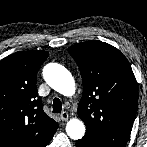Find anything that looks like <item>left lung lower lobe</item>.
<instances>
[{
  "label": "left lung lower lobe",
  "instance_id": "obj_1",
  "mask_svg": "<svg viewBox=\"0 0 147 147\" xmlns=\"http://www.w3.org/2000/svg\"><path fill=\"white\" fill-rule=\"evenodd\" d=\"M76 147H94V146L89 144L85 139H80L76 142Z\"/></svg>",
  "mask_w": 147,
  "mask_h": 147
}]
</instances>
